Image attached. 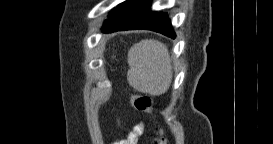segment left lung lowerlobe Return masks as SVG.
Listing matches in <instances>:
<instances>
[{"label":"left lung lower lobe","instance_id":"left-lung-lower-lobe-1","mask_svg":"<svg viewBox=\"0 0 273 144\" xmlns=\"http://www.w3.org/2000/svg\"><path fill=\"white\" fill-rule=\"evenodd\" d=\"M150 0H127L118 5L105 21L103 32L128 29H149L175 38L170 19L165 13L153 12Z\"/></svg>","mask_w":273,"mask_h":144}]
</instances>
